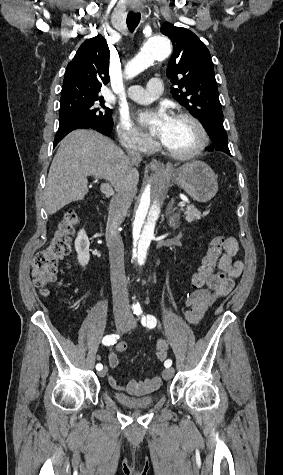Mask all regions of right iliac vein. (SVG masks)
Instances as JSON below:
<instances>
[{
	"label": "right iliac vein",
	"mask_w": 283,
	"mask_h": 475,
	"mask_svg": "<svg viewBox=\"0 0 283 475\" xmlns=\"http://www.w3.org/2000/svg\"><path fill=\"white\" fill-rule=\"evenodd\" d=\"M114 320H115V325L118 328H122V327H125V325L127 324L128 318L127 316H124L123 314H119L115 316ZM106 372H107V369L104 368L102 371L99 372V376L104 377L106 375Z\"/></svg>",
	"instance_id": "63e3f726"
}]
</instances>
